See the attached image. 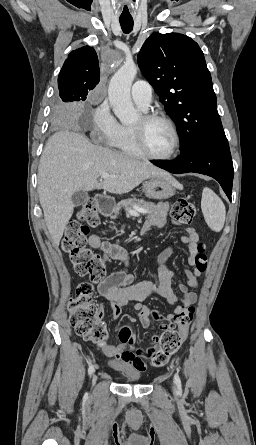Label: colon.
Masks as SVG:
<instances>
[{
  "instance_id": "colon-1",
  "label": "colon",
  "mask_w": 256,
  "mask_h": 445,
  "mask_svg": "<svg viewBox=\"0 0 256 445\" xmlns=\"http://www.w3.org/2000/svg\"><path fill=\"white\" fill-rule=\"evenodd\" d=\"M196 216V208L190 196L178 199L172 206L171 217L176 224H192ZM99 217L95 202H85L78 218L69 223L62 242L65 253L69 255L75 271L82 276H88L93 281H101L105 278V266L107 259L93 253L87 247V235L91 228L97 227ZM204 246L198 245V254L195 265L201 272L207 267V257L203 253ZM94 290L89 283H81L77 286L73 297L70 299L68 309L70 323L76 333L82 338L97 344H104L108 340V332L103 318L102 306L93 300ZM193 307L183 309L175 318L178 329L170 328L160 336L159 346L151 353L153 366L161 367L167 364L170 357L180 348L184 338L185 329L192 322ZM133 333L129 328L120 331V339L124 343L133 341Z\"/></svg>"
}]
</instances>
